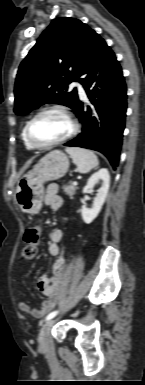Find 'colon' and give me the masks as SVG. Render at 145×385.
I'll list each match as a JSON object with an SVG mask.
<instances>
[{
  "instance_id": "colon-1",
  "label": "colon",
  "mask_w": 145,
  "mask_h": 385,
  "mask_svg": "<svg viewBox=\"0 0 145 385\" xmlns=\"http://www.w3.org/2000/svg\"><path fill=\"white\" fill-rule=\"evenodd\" d=\"M40 238V226L34 225L30 226L25 230L23 236V247L21 249L20 257L24 262L32 261L38 249V243ZM64 269V263L62 261H58L53 266V272L60 274Z\"/></svg>"
}]
</instances>
